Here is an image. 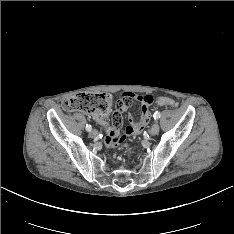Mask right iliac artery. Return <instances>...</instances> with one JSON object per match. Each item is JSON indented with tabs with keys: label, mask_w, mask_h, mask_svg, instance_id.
Wrapping results in <instances>:
<instances>
[{
	"label": "right iliac artery",
	"mask_w": 234,
	"mask_h": 234,
	"mask_svg": "<svg viewBox=\"0 0 234 234\" xmlns=\"http://www.w3.org/2000/svg\"><path fill=\"white\" fill-rule=\"evenodd\" d=\"M86 130L88 131V132H90L91 130H92V128H91V125H86Z\"/></svg>",
	"instance_id": "right-iliac-artery-1"
}]
</instances>
